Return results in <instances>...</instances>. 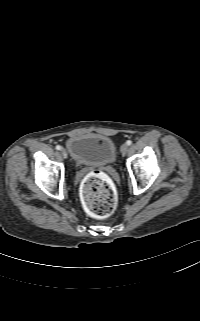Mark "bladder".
<instances>
[{"instance_id":"1","label":"bladder","mask_w":200,"mask_h":321,"mask_svg":"<svg viewBox=\"0 0 200 321\" xmlns=\"http://www.w3.org/2000/svg\"><path fill=\"white\" fill-rule=\"evenodd\" d=\"M70 157L80 165H107L115 161L116 146L113 140L101 134H81L66 143Z\"/></svg>"}]
</instances>
